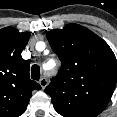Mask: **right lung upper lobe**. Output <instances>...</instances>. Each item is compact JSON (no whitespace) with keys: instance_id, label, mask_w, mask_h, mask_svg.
<instances>
[{"instance_id":"cb5924a9","label":"right lung upper lobe","mask_w":117,"mask_h":117,"mask_svg":"<svg viewBox=\"0 0 117 117\" xmlns=\"http://www.w3.org/2000/svg\"><path fill=\"white\" fill-rule=\"evenodd\" d=\"M30 34L12 27L0 29V117L22 115L32 91L41 89L30 80V61L21 56Z\"/></svg>"}]
</instances>
